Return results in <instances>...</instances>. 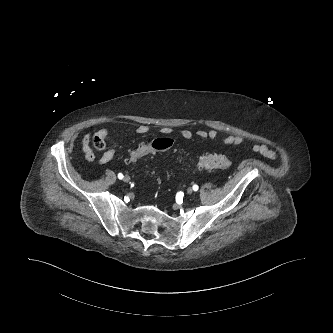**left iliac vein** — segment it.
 I'll use <instances>...</instances> for the list:
<instances>
[{"label": "left iliac vein", "instance_id": "obj_1", "mask_svg": "<svg viewBox=\"0 0 333 333\" xmlns=\"http://www.w3.org/2000/svg\"><path fill=\"white\" fill-rule=\"evenodd\" d=\"M187 193H188V194H192V193H193V189H192L191 187H189V188L187 189Z\"/></svg>", "mask_w": 333, "mask_h": 333}]
</instances>
